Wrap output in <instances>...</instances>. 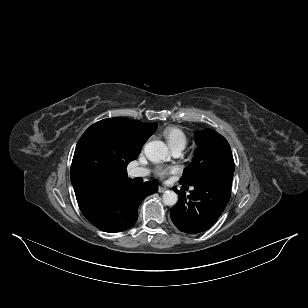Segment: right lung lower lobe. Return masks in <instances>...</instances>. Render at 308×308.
I'll list each match as a JSON object with an SVG mask.
<instances>
[{"mask_svg":"<svg viewBox=\"0 0 308 308\" xmlns=\"http://www.w3.org/2000/svg\"><path fill=\"white\" fill-rule=\"evenodd\" d=\"M157 190L158 187L153 182L135 184L128 180L79 204V208L87 220L98 229L109 233L120 232L135 224L140 202Z\"/></svg>","mask_w":308,"mask_h":308,"instance_id":"1","label":"right lung lower lobe"}]
</instances>
